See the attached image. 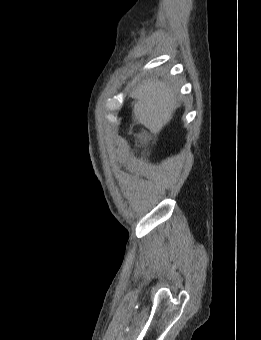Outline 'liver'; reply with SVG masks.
<instances>
[{"instance_id":"liver-1","label":"liver","mask_w":261,"mask_h":340,"mask_svg":"<svg viewBox=\"0 0 261 340\" xmlns=\"http://www.w3.org/2000/svg\"><path fill=\"white\" fill-rule=\"evenodd\" d=\"M137 101L135 119L153 133H159L179 107L177 91L165 80L148 79L132 92Z\"/></svg>"}]
</instances>
